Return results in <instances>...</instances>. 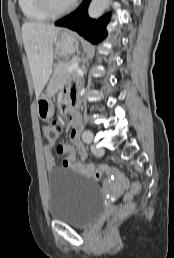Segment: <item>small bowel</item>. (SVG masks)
<instances>
[{"label":"small bowel","mask_w":174,"mask_h":258,"mask_svg":"<svg viewBox=\"0 0 174 258\" xmlns=\"http://www.w3.org/2000/svg\"><path fill=\"white\" fill-rule=\"evenodd\" d=\"M67 94L69 97L76 95L75 90L72 87L67 89ZM70 123V139L73 145L60 144L56 148L58 154L65 155V157L62 159L63 167L81 172L85 179H102L103 176L104 178H107V176H110L112 172V176H115V178L118 179L124 187H126L127 184L130 183V180L123 179L124 175L121 174V171H114V167H90V162H75V149L78 151V154L83 161L86 160L88 156L83 144L79 140V133L82 126L80 116L78 114H73L70 117ZM43 153L46 160L47 170H54L57 156L54 155L52 146H45ZM103 183H106V180H103Z\"/></svg>","instance_id":"small-bowel-1"}]
</instances>
